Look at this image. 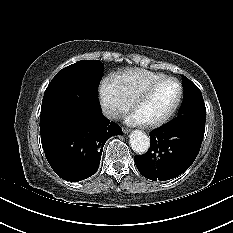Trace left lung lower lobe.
I'll use <instances>...</instances> for the list:
<instances>
[{
	"mask_svg": "<svg viewBox=\"0 0 233 233\" xmlns=\"http://www.w3.org/2000/svg\"><path fill=\"white\" fill-rule=\"evenodd\" d=\"M206 116L180 115L150 134V149L134 157L138 171L153 181L169 180L185 172L197 157Z\"/></svg>",
	"mask_w": 233,
	"mask_h": 233,
	"instance_id": "left-lung-lower-lobe-1",
	"label": "left lung lower lobe"
}]
</instances>
